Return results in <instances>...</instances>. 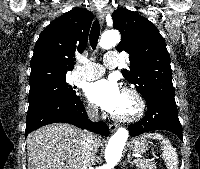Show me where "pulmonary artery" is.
Instances as JSON below:
<instances>
[{
    "label": "pulmonary artery",
    "mask_w": 200,
    "mask_h": 169,
    "mask_svg": "<svg viewBox=\"0 0 200 169\" xmlns=\"http://www.w3.org/2000/svg\"><path fill=\"white\" fill-rule=\"evenodd\" d=\"M118 62L117 54L109 52L104 58V65L95 62H85L84 66L75 71L72 81L85 82L99 78L104 74L105 68H114L117 66Z\"/></svg>",
    "instance_id": "obj_1"
}]
</instances>
